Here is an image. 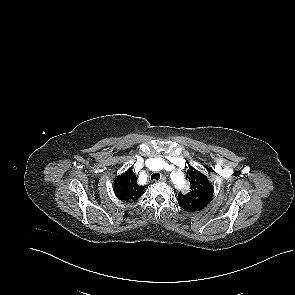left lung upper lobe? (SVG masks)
<instances>
[{"instance_id":"left-lung-upper-lobe-1","label":"left lung upper lobe","mask_w":295,"mask_h":295,"mask_svg":"<svg viewBox=\"0 0 295 295\" xmlns=\"http://www.w3.org/2000/svg\"><path fill=\"white\" fill-rule=\"evenodd\" d=\"M186 178L191 184L190 192L186 195L179 193L178 203L187 212L202 210L213 196V186L205 175L193 168H189Z\"/></svg>"}]
</instances>
